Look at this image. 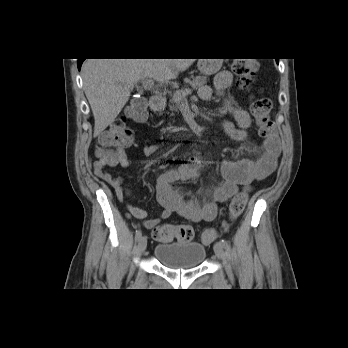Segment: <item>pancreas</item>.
<instances>
[{
  "label": "pancreas",
  "mask_w": 348,
  "mask_h": 348,
  "mask_svg": "<svg viewBox=\"0 0 348 348\" xmlns=\"http://www.w3.org/2000/svg\"><path fill=\"white\" fill-rule=\"evenodd\" d=\"M207 81H208L207 77L202 75H198L196 77L191 76L190 78L186 79V83L190 84L194 89H198L202 87L203 85L207 83ZM185 90H186L185 88H182V89L176 90L173 93V96L169 101V110L172 112V114L174 112H179V110L181 109V104L185 102L186 100L185 97H181V99L178 100V97H180V94L184 92Z\"/></svg>",
  "instance_id": "cf45deb5"
}]
</instances>
